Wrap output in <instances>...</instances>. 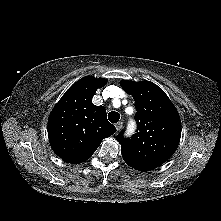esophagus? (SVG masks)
Masks as SVG:
<instances>
[{"mask_svg": "<svg viewBox=\"0 0 221 221\" xmlns=\"http://www.w3.org/2000/svg\"><path fill=\"white\" fill-rule=\"evenodd\" d=\"M115 126H116L117 131H120L123 127V122H118V123H116Z\"/></svg>", "mask_w": 221, "mask_h": 221, "instance_id": "1", "label": "esophagus"}]
</instances>
